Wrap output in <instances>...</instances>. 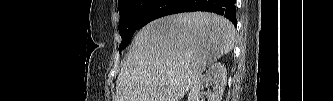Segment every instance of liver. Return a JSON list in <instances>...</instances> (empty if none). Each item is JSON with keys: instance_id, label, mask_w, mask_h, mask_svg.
Listing matches in <instances>:
<instances>
[{"instance_id": "liver-1", "label": "liver", "mask_w": 333, "mask_h": 101, "mask_svg": "<svg viewBox=\"0 0 333 101\" xmlns=\"http://www.w3.org/2000/svg\"><path fill=\"white\" fill-rule=\"evenodd\" d=\"M234 43L235 27L220 15L199 11L156 19L135 36L115 101H180Z\"/></svg>"}]
</instances>
